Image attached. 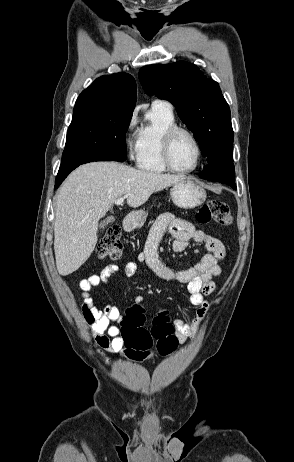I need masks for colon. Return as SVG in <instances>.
<instances>
[{
  "label": "colon",
  "mask_w": 294,
  "mask_h": 462,
  "mask_svg": "<svg viewBox=\"0 0 294 462\" xmlns=\"http://www.w3.org/2000/svg\"><path fill=\"white\" fill-rule=\"evenodd\" d=\"M196 219L201 224L214 222L227 227L232 223L229 207L221 200H211L204 204L197 212ZM121 229L117 225L110 226L104 237L97 245V254L100 258L118 259L122 253ZM144 309L138 305L127 310L120 322L121 335L126 346L146 352L152 348L153 341L161 355L174 351L178 346L175 329L166 313H159L152 321L150 331L144 328Z\"/></svg>",
  "instance_id": "obj_1"
}]
</instances>
